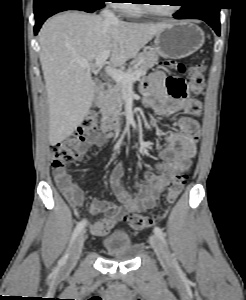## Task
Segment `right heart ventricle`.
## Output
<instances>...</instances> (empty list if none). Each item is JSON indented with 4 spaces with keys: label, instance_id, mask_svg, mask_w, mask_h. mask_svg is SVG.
<instances>
[{
    "label": "right heart ventricle",
    "instance_id": "right-heart-ventricle-1",
    "mask_svg": "<svg viewBox=\"0 0 246 300\" xmlns=\"http://www.w3.org/2000/svg\"><path fill=\"white\" fill-rule=\"evenodd\" d=\"M122 10L124 13L130 16H139L142 14V11L139 8V6L135 4H125L122 6Z\"/></svg>",
    "mask_w": 246,
    "mask_h": 300
}]
</instances>
